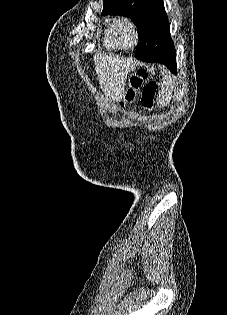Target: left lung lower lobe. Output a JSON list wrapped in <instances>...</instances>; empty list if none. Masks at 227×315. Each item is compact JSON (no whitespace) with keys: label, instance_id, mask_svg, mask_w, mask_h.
<instances>
[{"label":"left lung lower lobe","instance_id":"obj_1","mask_svg":"<svg viewBox=\"0 0 227 315\" xmlns=\"http://www.w3.org/2000/svg\"><path fill=\"white\" fill-rule=\"evenodd\" d=\"M135 56L145 62H158L164 64L171 70V72H177L175 53H168L159 48L158 41L154 38H147L140 41Z\"/></svg>","mask_w":227,"mask_h":315}]
</instances>
